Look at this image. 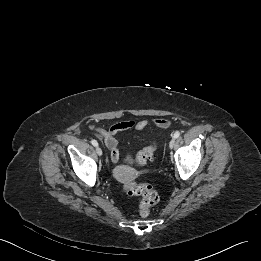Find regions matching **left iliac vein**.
<instances>
[{"instance_id":"4c4485c4","label":"left iliac vein","mask_w":261,"mask_h":261,"mask_svg":"<svg viewBox=\"0 0 261 261\" xmlns=\"http://www.w3.org/2000/svg\"><path fill=\"white\" fill-rule=\"evenodd\" d=\"M174 145H175V139L172 138V139L170 140V142H169V147H170V148H173Z\"/></svg>"}]
</instances>
